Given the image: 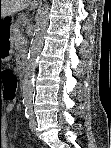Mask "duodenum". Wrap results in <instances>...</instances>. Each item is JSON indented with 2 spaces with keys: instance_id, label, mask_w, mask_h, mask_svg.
Wrapping results in <instances>:
<instances>
[{
  "instance_id": "1",
  "label": "duodenum",
  "mask_w": 111,
  "mask_h": 148,
  "mask_svg": "<svg viewBox=\"0 0 111 148\" xmlns=\"http://www.w3.org/2000/svg\"><path fill=\"white\" fill-rule=\"evenodd\" d=\"M19 64L21 67H25L27 65V59L25 56H23V55L20 56Z\"/></svg>"
}]
</instances>
